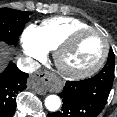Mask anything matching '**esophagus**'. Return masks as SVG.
<instances>
[{
	"mask_svg": "<svg viewBox=\"0 0 117 117\" xmlns=\"http://www.w3.org/2000/svg\"><path fill=\"white\" fill-rule=\"evenodd\" d=\"M29 86L40 95L45 94L48 90L55 91L57 89L52 75L47 71L33 74L29 80Z\"/></svg>",
	"mask_w": 117,
	"mask_h": 117,
	"instance_id": "obj_1",
	"label": "esophagus"
}]
</instances>
